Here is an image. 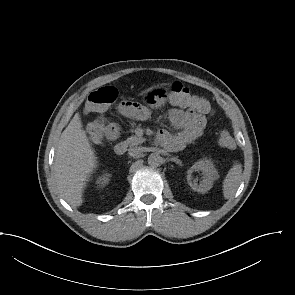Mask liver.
Segmentation results:
<instances>
[{
  "label": "liver",
  "instance_id": "liver-1",
  "mask_svg": "<svg viewBox=\"0 0 295 295\" xmlns=\"http://www.w3.org/2000/svg\"><path fill=\"white\" fill-rule=\"evenodd\" d=\"M78 113L62 132L54 158V178L62 197L74 208L83 203V192L97 157Z\"/></svg>",
  "mask_w": 295,
  "mask_h": 295
}]
</instances>
